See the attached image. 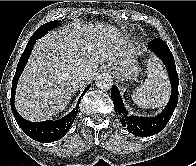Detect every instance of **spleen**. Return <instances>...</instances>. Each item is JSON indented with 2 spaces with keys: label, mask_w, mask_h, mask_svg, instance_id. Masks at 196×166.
I'll return each mask as SVG.
<instances>
[{
  "label": "spleen",
  "mask_w": 196,
  "mask_h": 166,
  "mask_svg": "<svg viewBox=\"0 0 196 166\" xmlns=\"http://www.w3.org/2000/svg\"><path fill=\"white\" fill-rule=\"evenodd\" d=\"M148 75L145 82L136 88L132 100L142 108L163 106L169 99L170 86L162 64L151 57L147 64Z\"/></svg>",
  "instance_id": "obj_1"
}]
</instances>
